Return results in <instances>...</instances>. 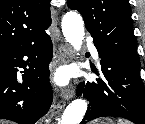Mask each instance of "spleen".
<instances>
[{
    "label": "spleen",
    "mask_w": 145,
    "mask_h": 124,
    "mask_svg": "<svg viewBox=\"0 0 145 124\" xmlns=\"http://www.w3.org/2000/svg\"><path fill=\"white\" fill-rule=\"evenodd\" d=\"M118 124H130V123L127 122V121H123V120L120 119V120L118 121Z\"/></svg>",
    "instance_id": "obj_1"
}]
</instances>
